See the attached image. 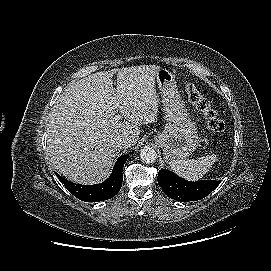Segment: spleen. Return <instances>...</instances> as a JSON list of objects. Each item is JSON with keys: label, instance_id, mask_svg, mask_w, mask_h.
I'll list each match as a JSON object with an SVG mask.
<instances>
[{"label": "spleen", "instance_id": "3e777b00", "mask_svg": "<svg viewBox=\"0 0 271 271\" xmlns=\"http://www.w3.org/2000/svg\"><path fill=\"white\" fill-rule=\"evenodd\" d=\"M218 160V155L212 154L198 159L176 160L170 163V168L180 177L188 181L202 179L212 165Z\"/></svg>", "mask_w": 271, "mask_h": 271}]
</instances>
